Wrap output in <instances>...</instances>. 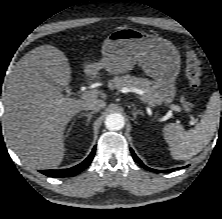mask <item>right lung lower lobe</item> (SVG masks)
Returning a JSON list of instances; mask_svg holds the SVG:
<instances>
[{
    "label": "right lung lower lobe",
    "instance_id": "obj_1",
    "mask_svg": "<svg viewBox=\"0 0 222 219\" xmlns=\"http://www.w3.org/2000/svg\"><path fill=\"white\" fill-rule=\"evenodd\" d=\"M95 149L96 148L94 147L90 155L82 163L74 167L61 170H40V172L48 177H60V178L77 175L91 163L92 159L94 158Z\"/></svg>",
    "mask_w": 222,
    "mask_h": 219
}]
</instances>
